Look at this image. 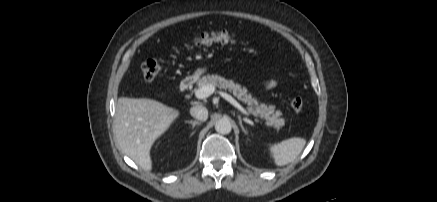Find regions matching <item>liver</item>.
<instances>
[{
  "label": "liver",
  "mask_w": 437,
  "mask_h": 202,
  "mask_svg": "<svg viewBox=\"0 0 437 202\" xmlns=\"http://www.w3.org/2000/svg\"><path fill=\"white\" fill-rule=\"evenodd\" d=\"M179 115V110L153 99L120 97L114 120L117 142L137 165L151 170L150 151L154 142Z\"/></svg>",
  "instance_id": "1"
}]
</instances>
